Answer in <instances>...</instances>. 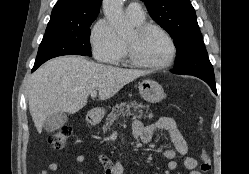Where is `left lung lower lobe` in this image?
Masks as SVG:
<instances>
[{"mask_svg": "<svg viewBox=\"0 0 249 174\" xmlns=\"http://www.w3.org/2000/svg\"><path fill=\"white\" fill-rule=\"evenodd\" d=\"M173 73H175L174 71H171ZM178 74V73H175ZM196 76L200 79H202L203 81H205L212 89V91L217 94V90H216V84H215V76H207V75H193Z\"/></svg>", "mask_w": 249, "mask_h": 174, "instance_id": "obj_1", "label": "left lung lower lobe"}]
</instances>
